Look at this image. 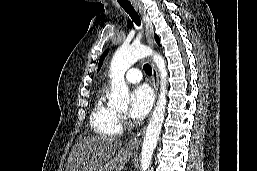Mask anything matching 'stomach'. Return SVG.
<instances>
[{"label": "stomach", "mask_w": 257, "mask_h": 171, "mask_svg": "<svg viewBox=\"0 0 257 171\" xmlns=\"http://www.w3.org/2000/svg\"><path fill=\"white\" fill-rule=\"evenodd\" d=\"M132 154V151L125 149L119 150L116 156L108 160L99 171H121Z\"/></svg>", "instance_id": "obj_1"}]
</instances>
